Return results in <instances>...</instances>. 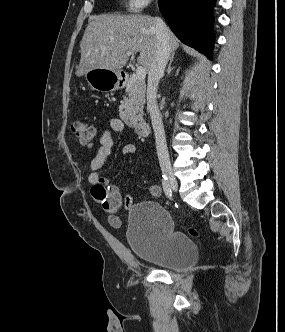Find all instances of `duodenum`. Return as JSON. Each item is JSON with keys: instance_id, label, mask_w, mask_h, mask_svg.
Returning <instances> with one entry per match:
<instances>
[{"instance_id": "1", "label": "duodenum", "mask_w": 285, "mask_h": 332, "mask_svg": "<svg viewBox=\"0 0 285 332\" xmlns=\"http://www.w3.org/2000/svg\"><path fill=\"white\" fill-rule=\"evenodd\" d=\"M128 81H129V76L123 74L121 77L120 85L124 86L128 83ZM135 131L139 136L147 137L150 133V126L146 122L138 123L135 125Z\"/></svg>"}]
</instances>
